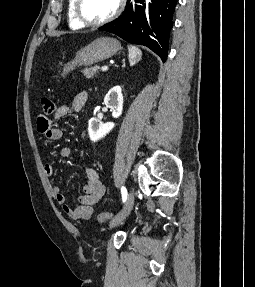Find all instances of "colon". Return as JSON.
<instances>
[{
    "mask_svg": "<svg viewBox=\"0 0 255 287\" xmlns=\"http://www.w3.org/2000/svg\"><path fill=\"white\" fill-rule=\"evenodd\" d=\"M41 105H42L43 112L46 115H51L56 110V105L54 101L49 98H42ZM112 215L113 214L111 212H101L97 215V221L100 223L106 222L112 217Z\"/></svg>",
    "mask_w": 255,
    "mask_h": 287,
    "instance_id": "obj_1",
    "label": "colon"
}]
</instances>
